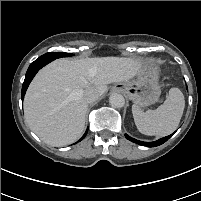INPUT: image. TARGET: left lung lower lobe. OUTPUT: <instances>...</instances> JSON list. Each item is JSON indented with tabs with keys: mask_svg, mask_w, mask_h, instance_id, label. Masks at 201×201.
I'll return each mask as SVG.
<instances>
[{
	"mask_svg": "<svg viewBox=\"0 0 201 201\" xmlns=\"http://www.w3.org/2000/svg\"><path fill=\"white\" fill-rule=\"evenodd\" d=\"M171 136L172 135L163 137V138H161V139H159V140H157L155 142H143V141L136 140V139L130 137L129 135L125 134V137L128 140H130V141H132V142H134L136 144H139V145H142V146H147V147H156V146H159V145L165 143Z\"/></svg>",
	"mask_w": 201,
	"mask_h": 201,
	"instance_id": "obj_1",
	"label": "left lung lower lobe"
}]
</instances>
